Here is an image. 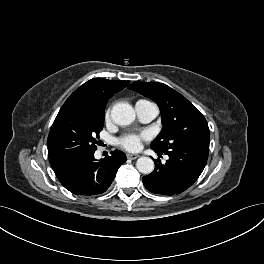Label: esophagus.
Masks as SVG:
<instances>
[{"label": "esophagus", "instance_id": "obj_1", "mask_svg": "<svg viewBox=\"0 0 264 264\" xmlns=\"http://www.w3.org/2000/svg\"><path fill=\"white\" fill-rule=\"evenodd\" d=\"M128 159H131V160H134V159H137L139 157V155L137 154H127L126 155Z\"/></svg>", "mask_w": 264, "mask_h": 264}]
</instances>
